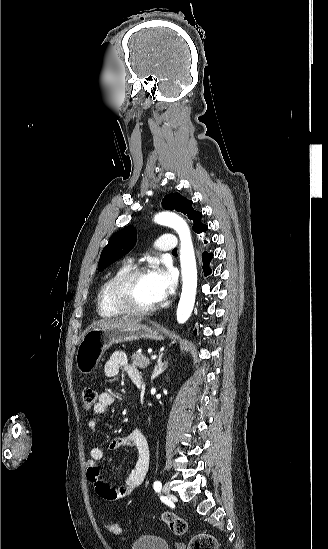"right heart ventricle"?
I'll use <instances>...</instances> for the list:
<instances>
[{"label": "right heart ventricle", "mask_w": 328, "mask_h": 549, "mask_svg": "<svg viewBox=\"0 0 328 549\" xmlns=\"http://www.w3.org/2000/svg\"><path fill=\"white\" fill-rule=\"evenodd\" d=\"M135 265V260L134 258L132 257H126L124 259H122L115 271L112 273V275L106 279V281L102 284L98 294H97V299H96V312L98 314V316L100 317V319H102L103 321L105 322H109V319H127L126 316L124 315H116V314H113L109 311L108 309V305H109V300H108V296H107V293H108V289L110 287V285L112 284V282L122 273L124 272L125 270L133 267Z\"/></svg>", "instance_id": "obj_1"}]
</instances>
